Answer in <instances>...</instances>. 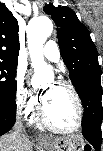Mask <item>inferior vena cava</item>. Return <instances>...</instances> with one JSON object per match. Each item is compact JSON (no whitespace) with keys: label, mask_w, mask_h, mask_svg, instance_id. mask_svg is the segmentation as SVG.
Masks as SVG:
<instances>
[{"label":"inferior vena cava","mask_w":103,"mask_h":151,"mask_svg":"<svg viewBox=\"0 0 103 151\" xmlns=\"http://www.w3.org/2000/svg\"><path fill=\"white\" fill-rule=\"evenodd\" d=\"M16 124H17V125H16V127H15L14 134H19V133L22 134V132H21V129H22V122H21L20 117L17 118V123H16Z\"/></svg>","instance_id":"602c4592"}]
</instances>
